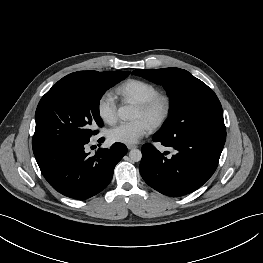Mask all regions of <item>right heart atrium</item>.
Instances as JSON below:
<instances>
[{"instance_id":"right-heart-atrium-1","label":"right heart atrium","mask_w":263,"mask_h":263,"mask_svg":"<svg viewBox=\"0 0 263 263\" xmlns=\"http://www.w3.org/2000/svg\"><path fill=\"white\" fill-rule=\"evenodd\" d=\"M97 112L99 117L107 124H112L117 120V104L110 92L102 94L98 99Z\"/></svg>"}]
</instances>
